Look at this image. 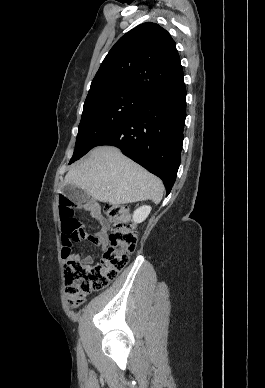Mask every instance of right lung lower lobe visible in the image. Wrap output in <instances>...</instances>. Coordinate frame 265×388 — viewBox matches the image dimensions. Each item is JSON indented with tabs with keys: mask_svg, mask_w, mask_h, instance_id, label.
Listing matches in <instances>:
<instances>
[{
	"mask_svg": "<svg viewBox=\"0 0 265 388\" xmlns=\"http://www.w3.org/2000/svg\"><path fill=\"white\" fill-rule=\"evenodd\" d=\"M185 118L186 88L182 79L147 94L136 111L96 146L118 147L160 177L167 196L181 161Z\"/></svg>",
	"mask_w": 265,
	"mask_h": 388,
	"instance_id": "1",
	"label": "right lung lower lobe"
}]
</instances>
